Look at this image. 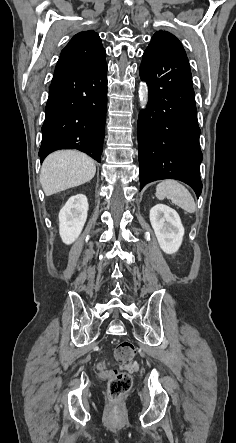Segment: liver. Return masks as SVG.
Segmentation results:
<instances>
[{"mask_svg": "<svg viewBox=\"0 0 236 443\" xmlns=\"http://www.w3.org/2000/svg\"><path fill=\"white\" fill-rule=\"evenodd\" d=\"M96 173L92 158L75 150H60L44 160L40 183L47 196L89 182Z\"/></svg>", "mask_w": 236, "mask_h": 443, "instance_id": "1", "label": "liver"}]
</instances>
